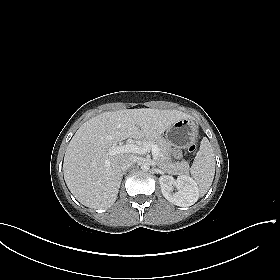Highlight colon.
<instances>
[{"label": "colon", "mask_w": 280, "mask_h": 280, "mask_svg": "<svg viewBox=\"0 0 280 280\" xmlns=\"http://www.w3.org/2000/svg\"><path fill=\"white\" fill-rule=\"evenodd\" d=\"M193 150H194V147L191 146V147L189 148V151L191 152V151H193Z\"/></svg>", "instance_id": "colon-1"}]
</instances>
